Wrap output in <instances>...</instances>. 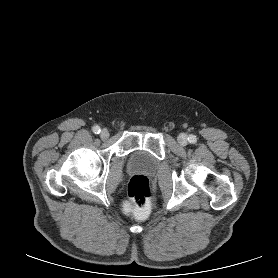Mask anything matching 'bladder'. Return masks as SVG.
I'll return each instance as SVG.
<instances>
[{"label": "bladder", "instance_id": "obj_1", "mask_svg": "<svg viewBox=\"0 0 278 278\" xmlns=\"http://www.w3.org/2000/svg\"><path fill=\"white\" fill-rule=\"evenodd\" d=\"M127 166L130 171L153 173L157 169V160L148 151L137 149L130 153Z\"/></svg>", "mask_w": 278, "mask_h": 278}]
</instances>
